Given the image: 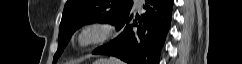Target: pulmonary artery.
I'll return each instance as SVG.
<instances>
[{
  "instance_id": "obj_1",
  "label": "pulmonary artery",
  "mask_w": 242,
  "mask_h": 64,
  "mask_svg": "<svg viewBox=\"0 0 242 64\" xmlns=\"http://www.w3.org/2000/svg\"><path fill=\"white\" fill-rule=\"evenodd\" d=\"M135 4L137 7H140L142 4V0H135Z\"/></svg>"
}]
</instances>
